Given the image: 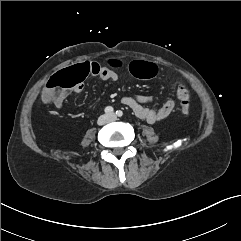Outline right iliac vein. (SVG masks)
Listing matches in <instances>:
<instances>
[{"label": "right iliac vein", "instance_id": "right-iliac-vein-1", "mask_svg": "<svg viewBox=\"0 0 241 241\" xmlns=\"http://www.w3.org/2000/svg\"><path fill=\"white\" fill-rule=\"evenodd\" d=\"M107 121H108V118H107L106 116H101V117L98 119V124H99V125H103V124H105Z\"/></svg>", "mask_w": 241, "mask_h": 241}]
</instances>
